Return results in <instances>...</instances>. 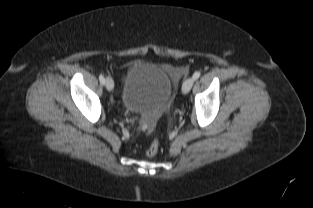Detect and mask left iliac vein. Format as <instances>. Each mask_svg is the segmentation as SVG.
Listing matches in <instances>:
<instances>
[{
  "instance_id": "obj_1",
  "label": "left iliac vein",
  "mask_w": 313,
  "mask_h": 208,
  "mask_svg": "<svg viewBox=\"0 0 313 208\" xmlns=\"http://www.w3.org/2000/svg\"><path fill=\"white\" fill-rule=\"evenodd\" d=\"M194 81L195 79L193 77H189L183 82V85H182L183 94H186L190 91V89L192 88L194 84Z\"/></svg>"
}]
</instances>
